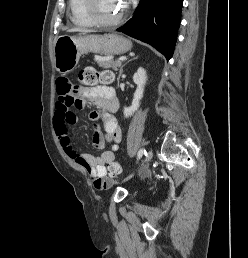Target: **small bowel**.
Returning <instances> with one entry per match:
<instances>
[{"mask_svg": "<svg viewBox=\"0 0 248 258\" xmlns=\"http://www.w3.org/2000/svg\"><path fill=\"white\" fill-rule=\"evenodd\" d=\"M58 99L53 118L55 132L65 153L78 165L86 169L94 180V186L99 190H110L114 180L105 177L108 168L115 162V154L119 149L122 131L113 113L119 108V101L114 90L108 85H97L86 88L74 96L71 83L66 78H60L56 83ZM88 102L101 109L89 114L91 121L101 120L104 134L94 133L93 146L103 149L107 143L110 149L103 151L99 156L78 151L72 143L71 126L78 122V116L72 108L83 109Z\"/></svg>", "mask_w": 248, "mask_h": 258, "instance_id": "obj_1", "label": "small bowel"}]
</instances>
